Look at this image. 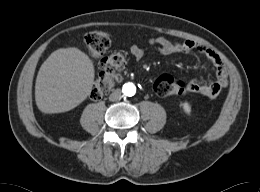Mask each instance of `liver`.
<instances>
[{
    "label": "liver",
    "instance_id": "liver-1",
    "mask_svg": "<svg viewBox=\"0 0 260 192\" xmlns=\"http://www.w3.org/2000/svg\"><path fill=\"white\" fill-rule=\"evenodd\" d=\"M93 61L76 47L54 51L41 65L35 83L38 109L47 114L69 111L91 93Z\"/></svg>",
    "mask_w": 260,
    "mask_h": 192
}]
</instances>
